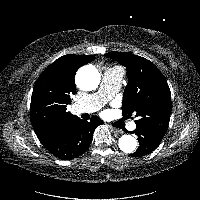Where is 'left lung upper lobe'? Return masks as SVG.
<instances>
[{
	"label": "left lung upper lobe",
	"mask_w": 200,
	"mask_h": 200,
	"mask_svg": "<svg viewBox=\"0 0 200 200\" xmlns=\"http://www.w3.org/2000/svg\"><path fill=\"white\" fill-rule=\"evenodd\" d=\"M106 55L127 69L123 114H135L136 126L147 127L164 135L168 129L172 104L170 89L163 74L149 60L129 52L116 51Z\"/></svg>",
	"instance_id": "1"
}]
</instances>
